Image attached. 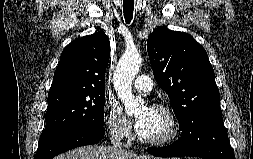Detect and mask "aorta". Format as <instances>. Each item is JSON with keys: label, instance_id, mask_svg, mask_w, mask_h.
<instances>
[{"label": "aorta", "instance_id": "762f6f07", "mask_svg": "<svg viewBox=\"0 0 253 159\" xmlns=\"http://www.w3.org/2000/svg\"><path fill=\"white\" fill-rule=\"evenodd\" d=\"M142 59L136 51H126L114 73V87L118 97L124 103L125 112L133 114L141 109L144 101L132 94V82L139 71Z\"/></svg>", "mask_w": 253, "mask_h": 159}]
</instances>
